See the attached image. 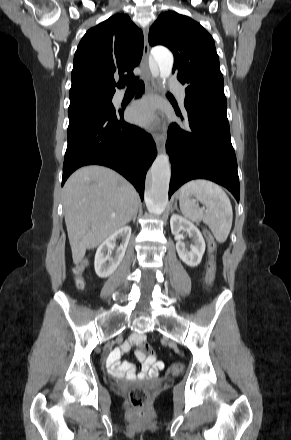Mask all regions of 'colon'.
Wrapping results in <instances>:
<instances>
[{
    "instance_id": "colon-1",
    "label": "colon",
    "mask_w": 291,
    "mask_h": 440,
    "mask_svg": "<svg viewBox=\"0 0 291 440\" xmlns=\"http://www.w3.org/2000/svg\"><path fill=\"white\" fill-rule=\"evenodd\" d=\"M207 240V248H208V266H207V274L205 277V282L207 286H211L214 275H215V253H216V241L209 235L206 234ZM88 265V260L83 259L79 265L78 270L81 271L86 268ZM138 355L139 356H147L152 359H156V355L151 349L150 345L147 342H142L138 347ZM149 390L143 386H135L129 392V402L130 404L136 408L141 409L147 406L149 401Z\"/></svg>"
}]
</instances>
